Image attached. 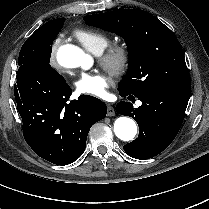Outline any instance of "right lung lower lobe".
Listing matches in <instances>:
<instances>
[{
  "label": "right lung lower lobe",
  "mask_w": 209,
  "mask_h": 209,
  "mask_svg": "<svg viewBox=\"0 0 209 209\" xmlns=\"http://www.w3.org/2000/svg\"><path fill=\"white\" fill-rule=\"evenodd\" d=\"M65 79L25 70L17 74L14 95L27 144L43 159L68 165L84 152L91 126L107 113L99 99L71 100Z\"/></svg>",
  "instance_id": "1"
}]
</instances>
